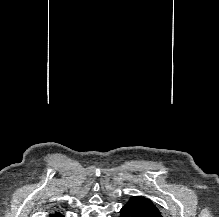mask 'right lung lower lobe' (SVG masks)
<instances>
[{
  "label": "right lung lower lobe",
  "instance_id": "98d812e1",
  "mask_svg": "<svg viewBox=\"0 0 219 217\" xmlns=\"http://www.w3.org/2000/svg\"><path fill=\"white\" fill-rule=\"evenodd\" d=\"M49 217H64V216L59 212H55V213L51 214Z\"/></svg>",
  "mask_w": 219,
  "mask_h": 217
}]
</instances>
